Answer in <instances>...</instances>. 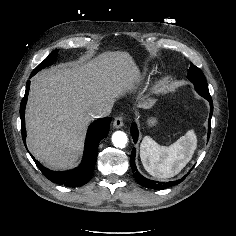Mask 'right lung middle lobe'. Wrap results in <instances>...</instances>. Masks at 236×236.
Masks as SVG:
<instances>
[{
  "instance_id": "1",
  "label": "right lung middle lobe",
  "mask_w": 236,
  "mask_h": 236,
  "mask_svg": "<svg viewBox=\"0 0 236 236\" xmlns=\"http://www.w3.org/2000/svg\"><path fill=\"white\" fill-rule=\"evenodd\" d=\"M57 57V50L53 51L44 61H42L32 72V75H35L38 71L46 66H50Z\"/></svg>"
}]
</instances>
